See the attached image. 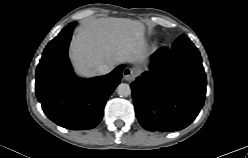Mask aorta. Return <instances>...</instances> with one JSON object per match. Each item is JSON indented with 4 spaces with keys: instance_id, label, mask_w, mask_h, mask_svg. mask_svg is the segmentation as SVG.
<instances>
[{
    "instance_id": "obj_1",
    "label": "aorta",
    "mask_w": 248,
    "mask_h": 158,
    "mask_svg": "<svg viewBox=\"0 0 248 158\" xmlns=\"http://www.w3.org/2000/svg\"><path fill=\"white\" fill-rule=\"evenodd\" d=\"M117 93L122 97H127L131 94V88L129 84L121 83L117 86Z\"/></svg>"
}]
</instances>
